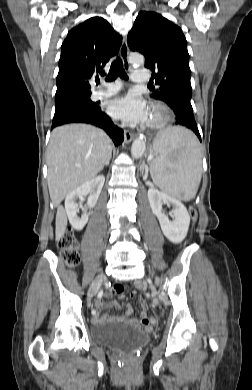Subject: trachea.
I'll return each mask as SVG.
<instances>
[{
    "label": "trachea",
    "mask_w": 252,
    "mask_h": 390,
    "mask_svg": "<svg viewBox=\"0 0 252 390\" xmlns=\"http://www.w3.org/2000/svg\"><path fill=\"white\" fill-rule=\"evenodd\" d=\"M116 77H120L122 79H126L127 75L123 70V63L120 58H117L111 65L108 76L106 77V81H113ZM100 83L99 80L96 81L98 85ZM150 86V84H148Z\"/></svg>",
    "instance_id": "trachea-1"
}]
</instances>
